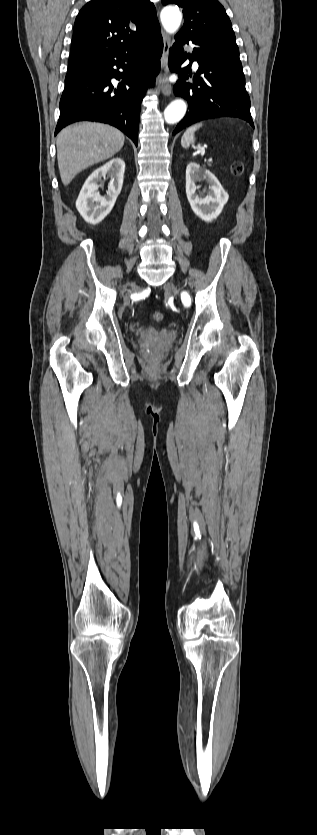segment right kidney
Segmentation results:
<instances>
[{
  "instance_id": "ca27d5eb",
  "label": "right kidney",
  "mask_w": 317,
  "mask_h": 835,
  "mask_svg": "<svg viewBox=\"0 0 317 835\" xmlns=\"http://www.w3.org/2000/svg\"><path fill=\"white\" fill-rule=\"evenodd\" d=\"M124 171L125 162L121 158H113L87 178L76 200V208L86 222L98 224L111 212L122 190ZM106 175L111 177V181L107 195L101 196L98 182Z\"/></svg>"
}]
</instances>
